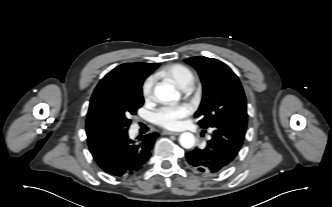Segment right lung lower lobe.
Returning a JSON list of instances; mask_svg holds the SVG:
<instances>
[{
	"label": "right lung lower lobe",
	"instance_id": "1",
	"mask_svg": "<svg viewBox=\"0 0 332 207\" xmlns=\"http://www.w3.org/2000/svg\"><path fill=\"white\" fill-rule=\"evenodd\" d=\"M128 130L109 131L88 137V145L94 160L106 173L128 176L140 170L150 158L157 133L142 136L139 141L129 139Z\"/></svg>",
	"mask_w": 332,
	"mask_h": 207
}]
</instances>
